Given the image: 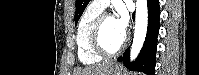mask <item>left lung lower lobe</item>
Wrapping results in <instances>:
<instances>
[{"mask_svg":"<svg viewBox=\"0 0 199 75\" xmlns=\"http://www.w3.org/2000/svg\"><path fill=\"white\" fill-rule=\"evenodd\" d=\"M148 5V28L144 45L137 59L130 63L128 48L123 56H120L117 61L123 64L130 70L140 71L147 75H155L156 65V49L157 36L159 32L160 7L159 0H147ZM134 18V14H133Z\"/></svg>","mask_w":199,"mask_h":75,"instance_id":"obj_1","label":"left lung lower lobe"}]
</instances>
